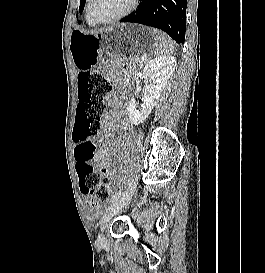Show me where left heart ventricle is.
Wrapping results in <instances>:
<instances>
[{
	"mask_svg": "<svg viewBox=\"0 0 265 273\" xmlns=\"http://www.w3.org/2000/svg\"><path fill=\"white\" fill-rule=\"evenodd\" d=\"M132 0H94L92 14L99 19L114 17L131 5Z\"/></svg>",
	"mask_w": 265,
	"mask_h": 273,
	"instance_id": "b2bd125f",
	"label": "left heart ventricle"
}]
</instances>
